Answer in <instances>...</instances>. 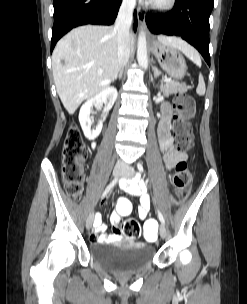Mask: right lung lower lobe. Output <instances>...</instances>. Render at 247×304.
<instances>
[{
	"instance_id": "right-lung-lower-lobe-1",
	"label": "right lung lower lobe",
	"mask_w": 247,
	"mask_h": 304,
	"mask_svg": "<svg viewBox=\"0 0 247 304\" xmlns=\"http://www.w3.org/2000/svg\"><path fill=\"white\" fill-rule=\"evenodd\" d=\"M54 25L51 52L56 42L72 28L85 24H113L122 0H53ZM137 17L134 12V30Z\"/></svg>"
}]
</instances>
